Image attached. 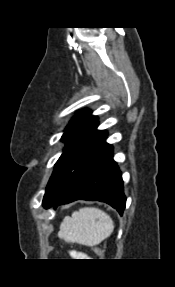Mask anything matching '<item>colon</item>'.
I'll return each instance as SVG.
<instances>
[{
	"label": "colon",
	"mask_w": 175,
	"mask_h": 287,
	"mask_svg": "<svg viewBox=\"0 0 175 287\" xmlns=\"http://www.w3.org/2000/svg\"><path fill=\"white\" fill-rule=\"evenodd\" d=\"M94 252L97 254V255H102V250L98 247L94 248Z\"/></svg>",
	"instance_id": "obj_1"
}]
</instances>
